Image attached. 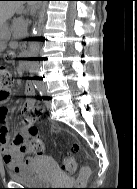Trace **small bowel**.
<instances>
[{
    "mask_svg": "<svg viewBox=\"0 0 137 189\" xmlns=\"http://www.w3.org/2000/svg\"><path fill=\"white\" fill-rule=\"evenodd\" d=\"M26 95L33 96L35 93L34 86L31 83L26 85ZM7 98L0 99V149L2 150L3 161L10 170L30 165L33 161L30 150L25 146L24 140L26 129L33 125L29 117H24V125L13 136L9 133V111L3 106ZM34 104L33 100L29 99L26 102V107Z\"/></svg>",
    "mask_w": 137,
    "mask_h": 189,
    "instance_id": "1",
    "label": "small bowel"
}]
</instances>
